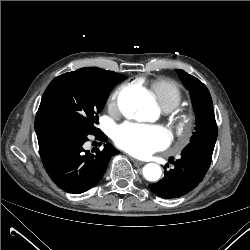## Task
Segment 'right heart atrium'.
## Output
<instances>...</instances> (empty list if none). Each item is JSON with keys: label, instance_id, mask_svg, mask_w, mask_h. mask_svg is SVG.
I'll list each match as a JSON object with an SVG mask.
<instances>
[{"label": "right heart atrium", "instance_id": "right-heart-atrium-1", "mask_svg": "<svg viewBox=\"0 0 250 250\" xmlns=\"http://www.w3.org/2000/svg\"><path fill=\"white\" fill-rule=\"evenodd\" d=\"M118 94H119V91L116 90L114 91L109 99H108V107L112 110H116L117 109V98H118Z\"/></svg>", "mask_w": 250, "mask_h": 250}]
</instances>
